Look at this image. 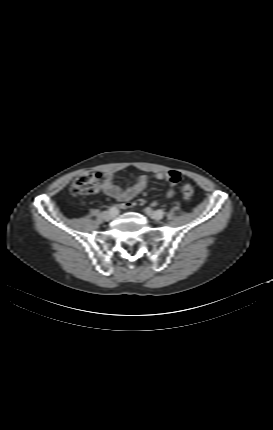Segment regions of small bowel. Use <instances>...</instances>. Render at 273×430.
Returning <instances> with one entry per match:
<instances>
[{"label":"small bowel","mask_w":273,"mask_h":430,"mask_svg":"<svg viewBox=\"0 0 273 430\" xmlns=\"http://www.w3.org/2000/svg\"><path fill=\"white\" fill-rule=\"evenodd\" d=\"M154 176L157 180L165 181L170 184V187L167 190V195L170 198L174 197L175 193L172 186L179 181V174L175 171H168L156 173ZM147 186L148 177L146 175L138 176L130 186L122 188L114 183L113 175L111 173L105 172L102 175V181L98 186V190L121 202L120 206L125 208L127 207V203L143 192Z\"/></svg>","instance_id":"c3829d8e"}]
</instances>
